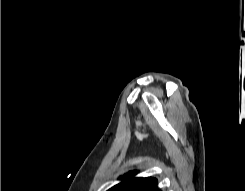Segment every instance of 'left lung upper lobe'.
I'll use <instances>...</instances> for the list:
<instances>
[{
  "label": "left lung upper lobe",
  "mask_w": 245,
  "mask_h": 191,
  "mask_svg": "<svg viewBox=\"0 0 245 191\" xmlns=\"http://www.w3.org/2000/svg\"><path fill=\"white\" fill-rule=\"evenodd\" d=\"M139 171H128L120 176V183L111 187L108 191H161L158 188V180L153 177H136Z\"/></svg>",
  "instance_id": "obj_1"
}]
</instances>
